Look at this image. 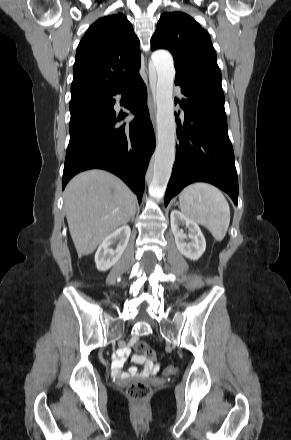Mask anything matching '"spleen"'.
I'll list each match as a JSON object with an SVG mask.
<instances>
[{"label": "spleen", "instance_id": "3e777b00", "mask_svg": "<svg viewBox=\"0 0 291 440\" xmlns=\"http://www.w3.org/2000/svg\"><path fill=\"white\" fill-rule=\"evenodd\" d=\"M184 215L205 226L216 241H222L230 223L229 204L222 192L208 183H193L179 196Z\"/></svg>", "mask_w": 291, "mask_h": 440}]
</instances>
